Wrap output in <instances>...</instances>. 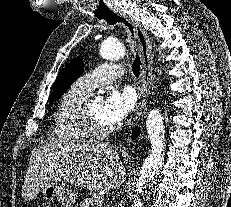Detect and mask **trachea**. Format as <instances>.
Segmentation results:
<instances>
[{
  "label": "trachea",
  "mask_w": 231,
  "mask_h": 207,
  "mask_svg": "<svg viewBox=\"0 0 231 207\" xmlns=\"http://www.w3.org/2000/svg\"><path fill=\"white\" fill-rule=\"evenodd\" d=\"M98 18L106 20L111 25L115 24L116 22H122L128 27L129 31L133 35V28H132L131 24L128 23V21L126 19H124L123 17H120L119 15H117L113 12L98 16ZM140 66H141L140 57L138 55H136L135 60L132 63V71L136 77H139Z\"/></svg>",
  "instance_id": "obj_1"
}]
</instances>
